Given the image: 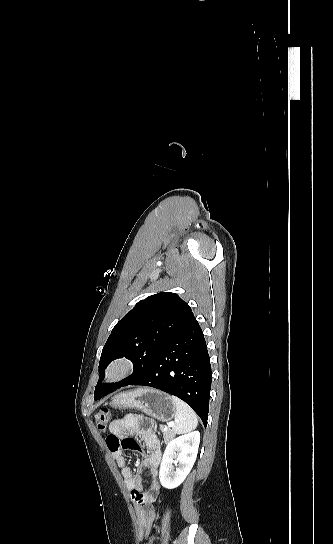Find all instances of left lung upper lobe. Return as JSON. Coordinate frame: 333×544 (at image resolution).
Segmentation results:
<instances>
[{
	"instance_id": "1",
	"label": "left lung upper lobe",
	"mask_w": 333,
	"mask_h": 544,
	"mask_svg": "<svg viewBox=\"0 0 333 544\" xmlns=\"http://www.w3.org/2000/svg\"><path fill=\"white\" fill-rule=\"evenodd\" d=\"M190 313L189 305L175 293H158L139 301L114 326L103 347L95 396L113 392L138 378ZM121 357L134 363L133 374L120 382L101 383L107 365Z\"/></svg>"
}]
</instances>
